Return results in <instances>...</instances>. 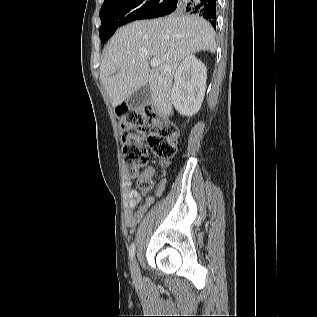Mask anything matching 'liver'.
Wrapping results in <instances>:
<instances>
[{"instance_id": "liver-1", "label": "liver", "mask_w": 317, "mask_h": 317, "mask_svg": "<svg viewBox=\"0 0 317 317\" xmlns=\"http://www.w3.org/2000/svg\"><path fill=\"white\" fill-rule=\"evenodd\" d=\"M215 31L196 15L172 14L129 23L113 35L100 65V78L113 107L148 85L160 115L173 114L171 87L177 66L186 56L216 50ZM160 64L150 68V59Z\"/></svg>"}]
</instances>
